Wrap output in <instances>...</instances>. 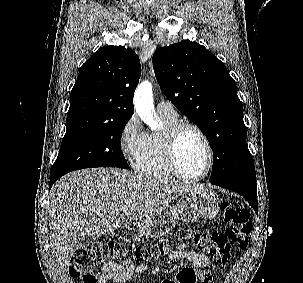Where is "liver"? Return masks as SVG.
I'll use <instances>...</instances> for the list:
<instances>
[{"label": "liver", "mask_w": 303, "mask_h": 283, "mask_svg": "<svg viewBox=\"0 0 303 283\" xmlns=\"http://www.w3.org/2000/svg\"><path fill=\"white\" fill-rule=\"evenodd\" d=\"M199 188L116 168L83 169L63 176L50 191L49 205L50 243L60 274L67 272L81 236L97 237L124 222L158 214L174 199Z\"/></svg>", "instance_id": "obj_1"}]
</instances>
